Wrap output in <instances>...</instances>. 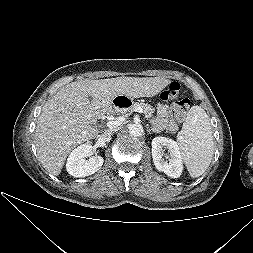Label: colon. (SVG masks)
Returning <instances> with one entry per match:
<instances>
[{
    "label": "colon",
    "mask_w": 253,
    "mask_h": 253,
    "mask_svg": "<svg viewBox=\"0 0 253 253\" xmlns=\"http://www.w3.org/2000/svg\"><path fill=\"white\" fill-rule=\"evenodd\" d=\"M180 84L178 82H172L167 90H165L161 97L164 100L175 98L180 91ZM176 106V115L180 119H184L187 114V111L190 107V100L188 98H183L175 103Z\"/></svg>",
    "instance_id": "5ec220e1"
}]
</instances>
